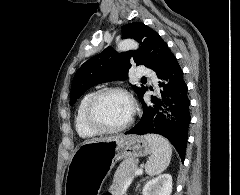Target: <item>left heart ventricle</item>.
Returning a JSON list of instances; mask_svg holds the SVG:
<instances>
[{
  "label": "left heart ventricle",
  "mask_w": 240,
  "mask_h": 195,
  "mask_svg": "<svg viewBox=\"0 0 240 195\" xmlns=\"http://www.w3.org/2000/svg\"><path fill=\"white\" fill-rule=\"evenodd\" d=\"M96 115L99 121L107 126H121L131 117V104L122 95L109 94L97 105Z\"/></svg>",
  "instance_id": "left-heart-ventricle-1"
}]
</instances>
